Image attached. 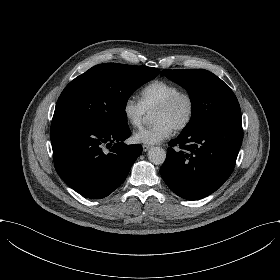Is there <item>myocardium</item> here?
Here are the masks:
<instances>
[{"mask_svg":"<svg viewBox=\"0 0 280 280\" xmlns=\"http://www.w3.org/2000/svg\"><path fill=\"white\" fill-rule=\"evenodd\" d=\"M181 99H186L189 104L188 114L183 121L175 126L176 130L187 129L194 121L197 111V103L194 94L188 90L181 89L167 100L160 103L155 110H167L173 108Z\"/></svg>","mask_w":280,"mask_h":280,"instance_id":"obj_1","label":"myocardium"}]
</instances>
